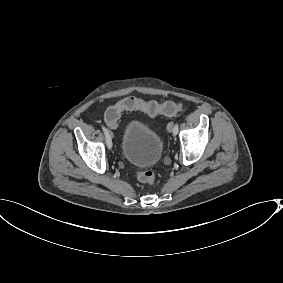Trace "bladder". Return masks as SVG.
Listing matches in <instances>:
<instances>
[{"instance_id": "1", "label": "bladder", "mask_w": 283, "mask_h": 283, "mask_svg": "<svg viewBox=\"0 0 283 283\" xmlns=\"http://www.w3.org/2000/svg\"><path fill=\"white\" fill-rule=\"evenodd\" d=\"M163 142V137L148 123L130 119L121 133L120 155L133 166H153L161 158Z\"/></svg>"}]
</instances>
